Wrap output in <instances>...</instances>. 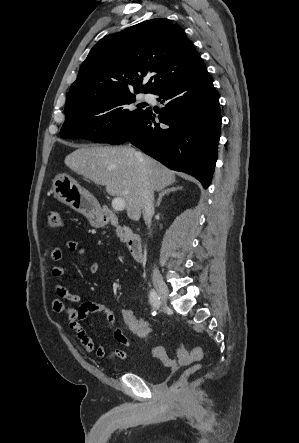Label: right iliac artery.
<instances>
[{"mask_svg":"<svg viewBox=\"0 0 299 443\" xmlns=\"http://www.w3.org/2000/svg\"><path fill=\"white\" fill-rule=\"evenodd\" d=\"M149 300H150V303H151L156 309H159L160 304H161V302H160V297L158 296L157 292H156L154 289H152V290L150 291V293H149Z\"/></svg>","mask_w":299,"mask_h":443,"instance_id":"82829eb1","label":"right iliac artery"}]
</instances>
